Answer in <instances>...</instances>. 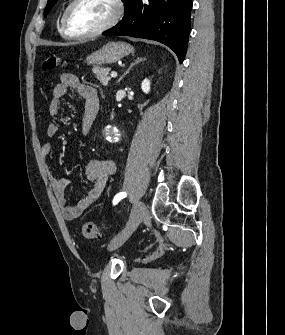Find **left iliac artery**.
Returning <instances> with one entry per match:
<instances>
[{"label": "left iliac artery", "instance_id": "1", "mask_svg": "<svg viewBox=\"0 0 285 335\" xmlns=\"http://www.w3.org/2000/svg\"><path fill=\"white\" fill-rule=\"evenodd\" d=\"M126 197V193L125 192H120L118 193L114 199H113V204L116 205L122 198Z\"/></svg>", "mask_w": 285, "mask_h": 335}]
</instances>
